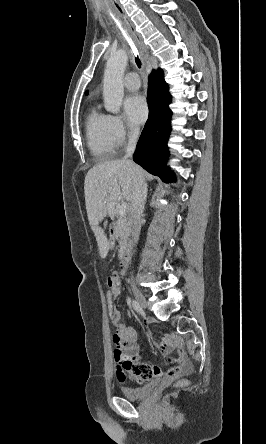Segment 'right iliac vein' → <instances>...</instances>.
Here are the masks:
<instances>
[{
  "label": "right iliac vein",
  "mask_w": 266,
  "mask_h": 444,
  "mask_svg": "<svg viewBox=\"0 0 266 444\" xmlns=\"http://www.w3.org/2000/svg\"><path fill=\"white\" fill-rule=\"evenodd\" d=\"M132 290H133V294H134L135 299H136L137 303L139 304V306L141 308L145 309L147 303H146V299H145L144 295L142 294V292L136 287H133Z\"/></svg>",
  "instance_id": "obj_1"
}]
</instances>
